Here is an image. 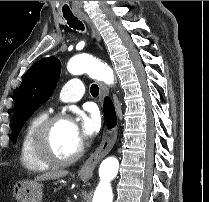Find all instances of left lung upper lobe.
<instances>
[{"label":"left lung upper lobe","instance_id":"obj_1","mask_svg":"<svg viewBox=\"0 0 209 202\" xmlns=\"http://www.w3.org/2000/svg\"><path fill=\"white\" fill-rule=\"evenodd\" d=\"M60 72V61L55 57H47L33 64L24 75L13 110V143L24 123L52 96Z\"/></svg>","mask_w":209,"mask_h":202}]
</instances>
